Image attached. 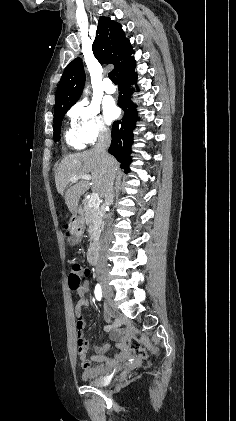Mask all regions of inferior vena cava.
<instances>
[{
  "label": "inferior vena cava",
  "mask_w": 236,
  "mask_h": 421,
  "mask_svg": "<svg viewBox=\"0 0 236 421\" xmlns=\"http://www.w3.org/2000/svg\"><path fill=\"white\" fill-rule=\"evenodd\" d=\"M111 142V130L109 128H106V126H99V136H98V142H96L94 148L97 150V152H101V154H108L107 148H109ZM114 178L109 182L108 188H106V192L104 194L105 200L103 204L105 206H110V204H113L114 196ZM106 219H110L109 215H106ZM111 237L112 233L110 229H108L100 247V253H99V259L96 267L97 273H106L107 271V259L105 257V251L107 247H109L111 243Z\"/></svg>",
  "instance_id": "1"
}]
</instances>
